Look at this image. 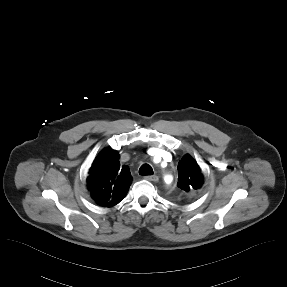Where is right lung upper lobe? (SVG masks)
<instances>
[{"mask_svg":"<svg viewBox=\"0 0 287 287\" xmlns=\"http://www.w3.org/2000/svg\"><path fill=\"white\" fill-rule=\"evenodd\" d=\"M131 182L129 168L120 167L118 152L109 147L93 161L87 177V188L97 204L112 207L125 197Z\"/></svg>","mask_w":287,"mask_h":287,"instance_id":"cb5924a9","label":"right lung upper lobe"}]
</instances>
